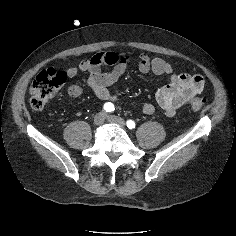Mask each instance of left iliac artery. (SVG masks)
Listing matches in <instances>:
<instances>
[{"mask_svg": "<svg viewBox=\"0 0 236 236\" xmlns=\"http://www.w3.org/2000/svg\"><path fill=\"white\" fill-rule=\"evenodd\" d=\"M126 124L129 129H134L136 127L135 122L132 120H128Z\"/></svg>", "mask_w": 236, "mask_h": 236, "instance_id": "obj_1", "label": "left iliac artery"}]
</instances>
